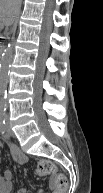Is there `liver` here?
Returning <instances> with one entry per match:
<instances>
[{
    "instance_id": "obj_1",
    "label": "liver",
    "mask_w": 103,
    "mask_h": 193,
    "mask_svg": "<svg viewBox=\"0 0 103 193\" xmlns=\"http://www.w3.org/2000/svg\"><path fill=\"white\" fill-rule=\"evenodd\" d=\"M21 0H0V17L4 25H9L18 12Z\"/></svg>"
}]
</instances>
